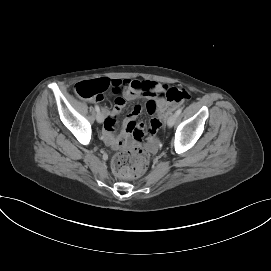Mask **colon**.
I'll list each match as a JSON object with an SVG mask.
<instances>
[{
	"label": "colon",
	"mask_w": 271,
	"mask_h": 271,
	"mask_svg": "<svg viewBox=\"0 0 271 271\" xmlns=\"http://www.w3.org/2000/svg\"><path fill=\"white\" fill-rule=\"evenodd\" d=\"M111 85L108 79L81 81L76 84L75 91L78 96L85 99H101ZM171 105H180L189 100V93L180 88H165L161 94ZM161 122L154 119L150 123L149 132H156ZM149 163V153L144 147H131L118 154L113 160V169L121 177L136 178L142 175Z\"/></svg>",
	"instance_id": "5ec220e1"
}]
</instances>
